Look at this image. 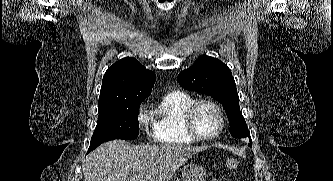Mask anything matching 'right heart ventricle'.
Returning a JSON list of instances; mask_svg holds the SVG:
<instances>
[{
	"instance_id": "right-heart-ventricle-1",
	"label": "right heart ventricle",
	"mask_w": 333,
	"mask_h": 181,
	"mask_svg": "<svg viewBox=\"0 0 333 181\" xmlns=\"http://www.w3.org/2000/svg\"><path fill=\"white\" fill-rule=\"evenodd\" d=\"M194 98L187 93L174 91L166 94L151 110L154 122L153 138L167 144H190L197 140L185 128L184 114Z\"/></svg>"
}]
</instances>
